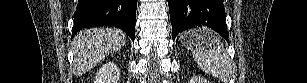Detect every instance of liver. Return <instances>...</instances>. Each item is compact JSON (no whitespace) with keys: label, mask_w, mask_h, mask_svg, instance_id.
Returning <instances> with one entry per match:
<instances>
[{"label":"liver","mask_w":307,"mask_h":83,"mask_svg":"<svg viewBox=\"0 0 307 83\" xmlns=\"http://www.w3.org/2000/svg\"><path fill=\"white\" fill-rule=\"evenodd\" d=\"M126 35L114 28H94L80 31L73 41V72L81 76L106 56L121 49Z\"/></svg>","instance_id":"1"}]
</instances>
